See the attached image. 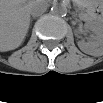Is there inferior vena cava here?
<instances>
[{
	"label": "inferior vena cava",
	"instance_id": "1",
	"mask_svg": "<svg viewBox=\"0 0 103 103\" xmlns=\"http://www.w3.org/2000/svg\"><path fill=\"white\" fill-rule=\"evenodd\" d=\"M47 9L45 2L35 1L30 7V13L33 17H38L43 14Z\"/></svg>",
	"mask_w": 103,
	"mask_h": 103
}]
</instances>
